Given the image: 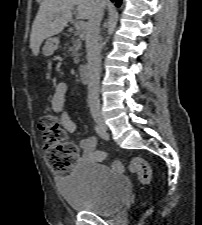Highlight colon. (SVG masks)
<instances>
[{
  "instance_id": "obj_1",
  "label": "colon",
  "mask_w": 202,
  "mask_h": 225,
  "mask_svg": "<svg viewBox=\"0 0 202 225\" xmlns=\"http://www.w3.org/2000/svg\"><path fill=\"white\" fill-rule=\"evenodd\" d=\"M38 128L43 134L45 157L48 166L57 176H69L80 156L79 148L75 143L65 139V133L59 127L57 118L52 115L42 116ZM113 166L123 170L122 162L115 160ZM129 171L136 175L139 182L148 184L152 180V169L146 159L135 157L131 160Z\"/></svg>"
}]
</instances>
